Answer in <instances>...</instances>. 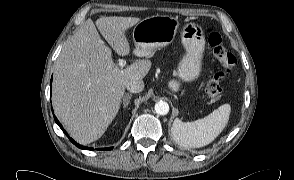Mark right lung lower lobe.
<instances>
[{
    "label": "right lung lower lobe",
    "mask_w": 294,
    "mask_h": 180,
    "mask_svg": "<svg viewBox=\"0 0 294 180\" xmlns=\"http://www.w3.org/2000/svg\"><path fill=\"white\" fill-rule=\"evenodd\" d=\"M55 122L58 124V126L62 129V131L67 135V133L65 132V130L63 129L62 125L60 124V122L58 121V119L54 116ZM69 139L71 140V142L76 145L77 147L81 148V149H86V150H90L91 148L88 147H84L82 145L77 144L72 138L69 137ZM107 149H112L111 148H107ZM105 149V150H107Z\"/></svg>",
    "instance_id": "98d812e1"
}]
</instances>
